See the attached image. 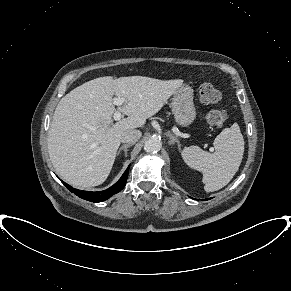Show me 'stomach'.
Returning a JSON list of instances; mask_svg holds the SVG:
<instances>
[{
	"mask_svg": "<svg viewBox=\"0 0 291 291\" xmlns=\"http://www.w3.org/2000/svg\"><path fill=\"white\" fill-rule=\"evenodd\" d=\"M172 113L181 127L189 126L196 117L193 90L188 85L178 88L172 98Z\"/></svg>",
	"mask_w": 291,
	"mask_h": 291,
	"instance_id": "0dacf381",
	"label": "stomach"
}]
</instances>
